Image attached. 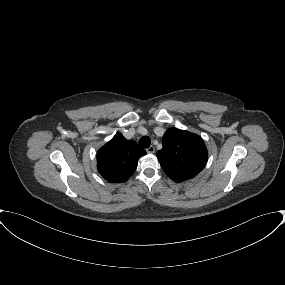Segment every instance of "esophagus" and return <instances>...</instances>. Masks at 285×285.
<instances>
[{"mask_svg":"<svg viewBox=\"0 0 285 285\" xmlns=\"http://www.w3.org/2000/svg\"><path fill=\"white\" fill-rule=\"evenodd\" d=\"M146 151H147L148 153L152 154V153L155 152V148H154V146H150V147H148V148L146 149Z\"/></svg>","mask_w":285,"mask_h":285,"instance_id":"obj_1","label":"esophagus"}]
</instances>
